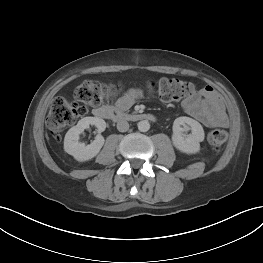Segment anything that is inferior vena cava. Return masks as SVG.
Listing matches in <instances>:
<instances>
[{
	"label": "inferior vena cava",
	"instance_id": "obj_1",
	"mask_svg": "<svg viewBox=\"0 0 263 263\" xmlns=\"http://www.w3.org/2000/svg\"><path fill=\"white\" fill-rule=\"evenodd\" d=\"M117 129L120 132H126L129 129V123L126 120H120L117 123Z\"/></svg>",
	"mask_w": 263,
	"mask_h": 263
}]
</instances>
